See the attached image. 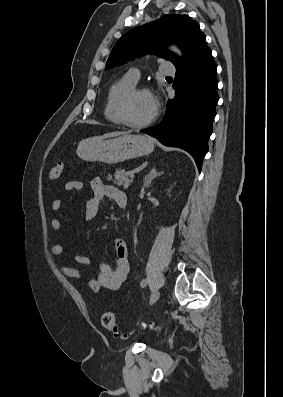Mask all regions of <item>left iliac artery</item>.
<instances>
[{
    "label": "left iliac artery",
    "instance_id": "left-iliac-artery-1",
    "mask_svg": "<svg viewBox=\"0 0 283 397\" xmlns=\"http://www.w3.org/2000/svg\"><path fill=\"white\" fill-rule=\"evenodd\" d=\"M146 284H147V280H146V279H144V280L141 281V287H145Z\"/></svg>",
    "mask_w": 283,
    "mask_h": 397
}]
</instances>
